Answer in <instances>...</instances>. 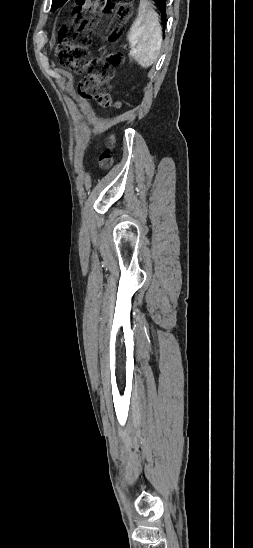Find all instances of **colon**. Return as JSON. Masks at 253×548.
<instances>
[{"mask_svg": "<svg viewBox=\"0 0 253 548\" xmlns=\"http://www.w3.org/2000/svg\"><path fill=\"white\" fill-rule=\"evenodd\" d=\"M73 10L74 26H63L58 34V43L55 56L59 63L76 72H85L79 84V93L82 98L95 100L101 107L118 106L111 96V80L114 68L121 59L116 54H109L103 58H90V36L85 30L96 21L97 9L115 10L118 17L126 20L132 13L131 0H75ZM113 32L110 39H115ZM112 142V139H111ZM99 162L101 167L108 168L112 164L109 150L101 153Z\"/></svg>", "mask_w": 253, "mask_h": 548, "instance_id": "colon-1", "label": "colon"}]
</instances>
